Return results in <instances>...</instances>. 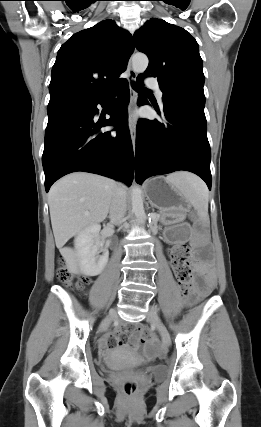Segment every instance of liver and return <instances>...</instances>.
Segmentation results:
<instances>
[{
  "label": "liver",
  "mask_w": 261,
  "mask_h": 427,
  "mask_svg": "<svg viewBox=\"0 0 261 427\" xmlns=\"http://www.w3.org/2000/svg\"><path fill=\"white\" fill-rule=\"evenodd\" d=\"M118 184L96 174H69L50 189L48 204L55 243L61 253L66 242L86 228L102 222ZM125 191L126 188L120 185Z\"/></svg>",
  "instance_id": "1"
}]
</instances>
